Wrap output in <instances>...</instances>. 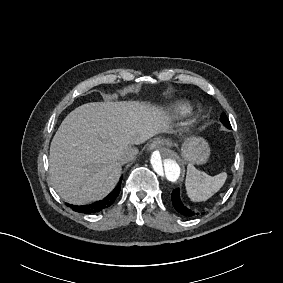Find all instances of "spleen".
<instances>
[{
    "instance_id": "1",
    "label": "spleen",
    "mask_w": 283,
    "mask_h": 283,
    "mask_svg": "<svg viewBox=\"0 0 283 283\" xmlns=\"http://www.w3.org/2000/svg\"><path fill=\"white\" fill-rule=\"evenodd\" d=\"M225 172L211 176L204 171L197 169L193 164L187 168L186 189L189 197L194 201H201L210 198L217 192L226 180Z\"/></svg>"
}]
</instances>
